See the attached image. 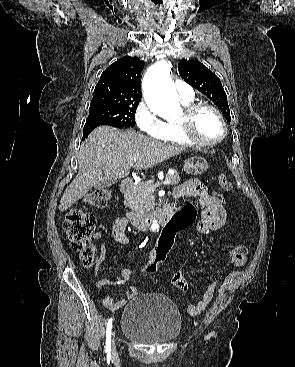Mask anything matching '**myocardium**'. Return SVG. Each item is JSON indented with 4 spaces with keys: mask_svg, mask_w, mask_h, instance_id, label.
<instances>
[{
    "mask_svg": "<svg viewBox=\"0 0 295 367\" xmlns=\"http://www.w3.org/2000/svg\"><path fill=\"white\" fill-rule=\"evenodd\" d=\"M202 109H209L212 112L215 113V115L217 116V118L219 119L221 126H222V134L221 136L213 141H205L200 139L195 131V118L197 116V114L199 113L200 110ZM178 125L180 126L183 134L186 136V138L191 141L193 144L198 145V146H204V147H209V146H214L219 144L220 142H222L226 135H227V124L226 121L222 115V113L220 112V110L215 107L212 104H209L207 102H198V103H193L190 104L189 106L185 107L183 114L181 116V118L177 121Z\"/></svg>",
    "mask_w": 295,
    "mask_h": 367,
    "instance_id": "f54148a6",
    "label": "myocardium"
}]
</instances>
